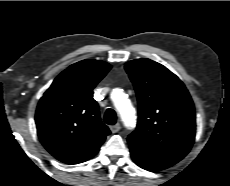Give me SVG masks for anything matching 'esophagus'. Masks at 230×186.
<instances>
[{
    "label": "esophagus",
    "instance_id": "1",
    "mask_svg": "<svg viewBox=\"0 0 230 186\" xmlns=\"http://www.w3.org/2000/svg\"><path fill=\"white\" fill-rule=\"evenodd\" d=\"M121 126L119 123L113 125V126H110V130L112 133H117L119 130H120Z\"/></svg>",
    "mask_w": 230,
    "mask_h": 186
}]
</instances>
